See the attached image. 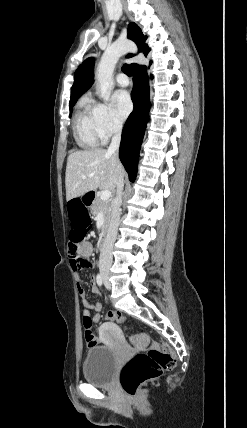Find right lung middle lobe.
<instances>
[{"mask_svg": "<svg viewBox=\"0 0 247 428\" xmlns=\"http://www.w3.org/2000/svg\"><path fill=\"white\" fill-rule=\"evenodd\" d=\"M75 104H71L70 106H69V109H70V117H71V113H72V110H73V106H74Z\"/></svg>", "mask_w": 247, "mask_h": 428, "instance_id": "obj_1", "label": "right lung middle lobe"}]
</instances>
